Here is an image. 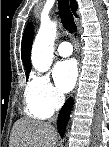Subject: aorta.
Returning a JSON list of instances; mask_svg holds the SVG:
<instances>
[{"mask_svg":"<svg viewBox=\"0 0 109 147\" xmlns=\"http://www.w3.org/2000/svg\"><path fill=\"white\" fill-rule=\"evenodd\" d=\"M56 32L57 27L54 22H41L31 51V62L38 72H47L52 64Z\"/></svg>","mask_w":109,"mask_h":147,"instance_id":"1","label":"aorta"}]
</instances>
